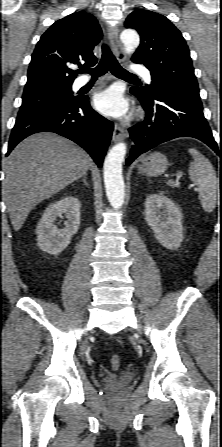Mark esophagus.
Here are the masks:
<instances>
[{
  "label": "esophagus",
  "instance_id": "esophagus-1",
  "mask_svg": "<svg viewBox=\"0 0 222 447\" xmlns=\"http://www.w3.org/2000/svg\"><path fill=\"white\" fill-rule=\"evenodd\" d=\"M107 30H108V37H109V40H110V43H111V46H112L115 56L117 57V59L119 61H123L124 60V51H123L122 44L118 37V28L116 26L108 25ZM124 137H125L124 128L116 123L114 125V130H113V136H112L113 141L119 142V141L123 140Z\"/></svg>",
  "mask_w": 222,
  "mask_h": 447
}]
</instances>
